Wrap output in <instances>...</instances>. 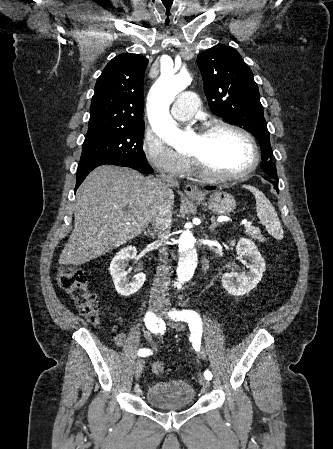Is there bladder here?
<instances>
[{"label": "bladder", "mask_w": 333, "mask_h": 449, "mask_svg": "<svg viewBox=\"0 0 333 449\" xmlns=\"http://www.w3.org/2000/svg\"><path fill=\"white\" fill-rule=\"evenodd\" d=\"M195 391L185 381H160L149 385L146 391L147 403L160 409L189 407L194 403Z\"/></svg>", "instance_id": "bladder-1"}]
</instances>
